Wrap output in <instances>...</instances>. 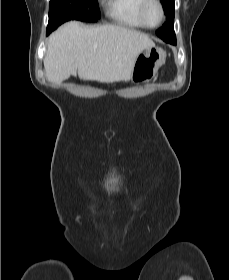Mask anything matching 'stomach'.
I'll list each match as a JSON object with an SVG mask.
<instances>
[{
    "instance_id": "0dacf381",
    "label": "stomach",
    "mask_w": 229,
    "mask_h": 280,
    "mask_svg": "<svg viewBox=\"0 0 229 280\" xmlns=\"http://www.w3.org/2000/svg\"><path fill=\"white\" fill-rule=\"evenodd\" d=\"M166 52L156 46L146 48L133 65L131 72L132 82H145L153 79L158 69L165 63Z\"/></svg>"
}]
</instances>
